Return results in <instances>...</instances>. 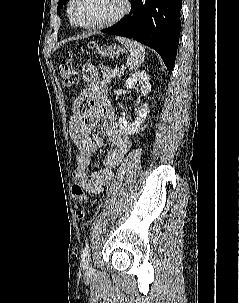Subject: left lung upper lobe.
<instances>
[{"mask_svg":"<svg viewBox=\"0 0 239 303\" xmlns=\"http://www.w3.org/2000/svg\"><path fill=\"white\" fill-rule=\"evenodd\" d=\"M66 1H67V0H59L58 9H57L58 14L60 13V8L63 6V4H64Z\"/></svg>","mask_w":239,"mask_h":303,"instance_id":"5c2ea615","label":"left lung upper lobe"}]
</instances>
